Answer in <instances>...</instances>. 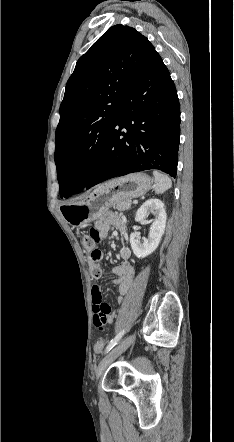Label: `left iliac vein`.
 <instances>
[{
  "instance_id": "obj_1",
  "label": "left iliac vein",
  "mask_w": 234,
  "mask_h": 442,
  "mask_svg": "<svg viewBox=\"0 0 234 442\" xmlns=\"http://www.w3.org/2000/svg\"><path fill=\"white\" fill-rule=\"evenodd\" d=\"M135 340V335L131 334L116 345L99 363L96 369L97 379L102 376L106 368L118 357L120 356Z\"/></svg>"
}]
</instances>
